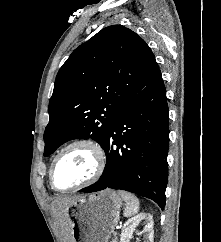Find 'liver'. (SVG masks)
Returning <instances> with one entry per match:
<instances>
[{
  "instance_id": "liver-1",
  "label": "liver",
  "mask_w": 221,
  "mask_h": 242,
  "mask_svg": "<svg viewBox=\"0 0 221 242\" xmlns=\"http://www.w3.org/2000/svg\"><path fill=\"white\" fill-rule=\"evenodd\" d=\"M78 198L79 196L64 197L57 199L52 204V211L56 217L57 224L61 227L62 232L64 233V242H71L72 240V228L67 209Z\"/></svg>"
}]
</instances>
